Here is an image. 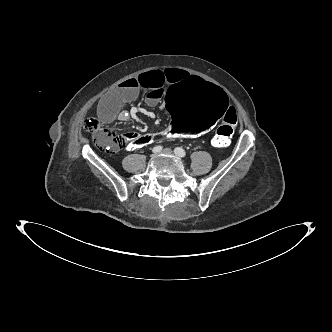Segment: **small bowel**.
Masks as SVG:
<instances>
[{"label": "small bowel", "instance_id": "1", "mask_svg": "<svg viewBox=\"0 0 332 332\" xmlns=\"http://www.w3.org/2000/svg\"><path fill=\"white\" fill-rule=\"evenodd\" d=\"M195 78L187 71L178 68L156 69L143 72L136 77L127 79L106 93L97 107V116L104 122L118 118L127 121L128 117L121 112L122 107L133 101L141 90L147 92L146 103L155 106L164 96L166 88L173 84L182 83L187 79ZM231 109H233L231 107ZM149 114L142 108H135V115ZM137 130L146 132V126H138ZM196 137V136H192Z\"/></svg>", "mask_w": 332, "mask_h": 332}]
</instances>
